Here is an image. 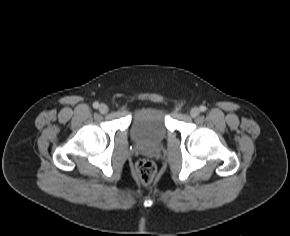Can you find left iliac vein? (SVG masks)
<instances>
[{"instance_id": "left-iliac-vein-1", "label": "left iliac vein", "mask_w": 290, "mask_h": 236, "mask_svg": "<svg viewBox=\"0 0 290 236\" xmlns=\"http://www.w3.org/2000/svg\"><path fill=\"white\" fill-rule=\"evenodd\" d=\"M200 114V109L198 107H193L191 110H190V115L192 117H197L198 115Z\"/></svg>"}]
</instances>
